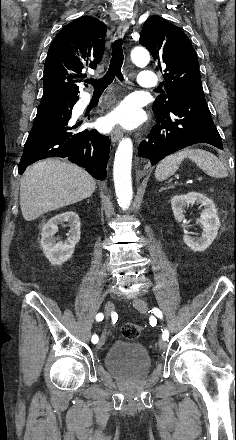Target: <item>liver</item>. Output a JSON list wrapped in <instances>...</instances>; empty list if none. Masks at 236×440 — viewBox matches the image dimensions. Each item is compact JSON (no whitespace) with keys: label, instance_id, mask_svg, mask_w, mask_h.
<instances>
[{"label":"liver","instance_id":"obj_1","mask_svg":"<svg viewBox=\"0 0 236 440\" xmlns=\"http://www.w3.org/2000/svg\"><path fill=\"white\" fill-rule=\"evenodd\" d=\"M94 179L76 165L47 159L34 164L20 185V208L26 221L92 195Z\"/></svg>","mask_w":236,"mask_h":440}]
</instances>
